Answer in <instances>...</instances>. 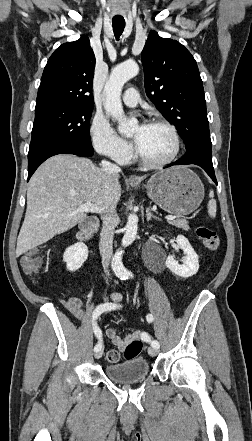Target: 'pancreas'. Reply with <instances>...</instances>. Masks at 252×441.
Masks as SVG:
<instances>
[{"instance_id":"obj_1","label":"pancreas","mask_w":252,"mask_h":441,"mask_svg":"<svg viewBox=\"0 0 252 441\" xmlns=\"http://www.w3.org/2000/svg\"><path fill=\"white\" fill-rule=\"evenodd\" d=\"M170 224L172 226L177 227V228H181V229H183L185 231L189 230V225H188V222L186 220L178 219V220L171 221Z\"/></svg>"}]
</instances>
